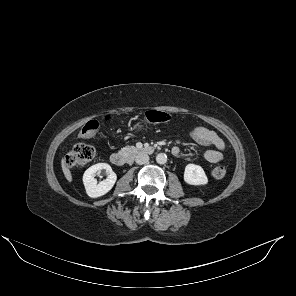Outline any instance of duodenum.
Masks as SVG:
<instances>
[{
	"mask_svg": "<svg viewBox=\"0 0 296 296\" xmlns=\"http://www.w3.org/2000/svg\"><path fill=\"white\" fill-rule=\"evenodd\" d=\"M141 152L146 153V154H150L153 152V148L148 147V148H144L141 150ZM132 159V156L129 154H124L121 152H113L110 155V160L112 162V164L116 165V166H124L126 164H128Z\"/></svg>",
	"mask_w": 296,
	"mask_h": 296,
	"instance_id": "obj_1",
	"label": "duodenum"
}]
</instances>
